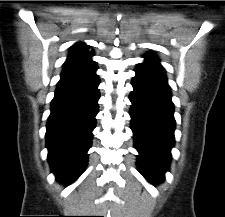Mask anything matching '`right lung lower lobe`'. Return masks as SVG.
<instances>
[{
  "label": "right lung lower lobe",
  "mask_w": 225,
  "mask_h": 217,
  "mask_svg": "<svg viewBox=\"0 0 225 217\" xmlns=\"http://www.w3.org/2000/svg\"><path fill=\"white\" fill-rule=\"evenodd\" d=\"M99 77L60 84L51 103L47 122L46 147L56 180L73 183L87 165L92 130L98 113Z\"/></svg>",
  "instance_id": "right-lung-lower-lobe-1"
}]
</instances>
